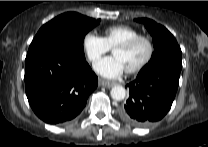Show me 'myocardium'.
<instances>
[{"mask_svg":"<svg viewBox=\"0 0 208 147\" xmlns=\"http://www.w3.org/2000/svg\"><path fill=\"white\" fill-rule=\"evenodd\" d=\"M140 41H144V42L147 43V45H148V54L145 57V59L141 63H139L137 66L126 70V72L129 73V74H134V73L140 72L152 61V59L154 57V54H155V45H154L153 40L149 36L139 34V35H137V36H135L131 39H128V40L118 44L114 48V49H117V48H119V49H130Z\"/></svg>","mask_w":208,"mask_h":147,"instance_id":"myocardium-1","label":"myocardium"}]
</instances>
